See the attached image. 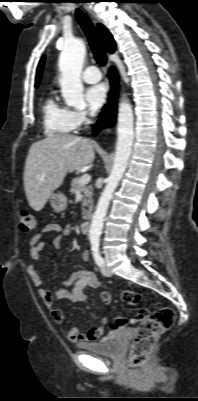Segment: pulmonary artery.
Masks as SVG:
<instances>
[{"mask_svg":"<svg viewBox=\"0 0 198 401\" xmlns=\"http://www.w3.org/2000/svg\"><path fill=\"white\" fill-rule=\"evenodd\" d=\"M101 78L102 74L96 66L87 67L82 74V79L86 83H96L100 81Z\"/></svg>","mask_w":198,"mask_h":401,"instance_id":"obj_1","label":"pulmonary artery"}]
</instances>
